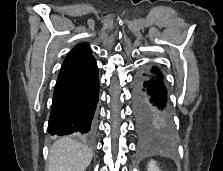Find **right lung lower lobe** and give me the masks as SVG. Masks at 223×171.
<instances>
[{"instance_id": "right-lung-lower-lobe-1", "label": "right lung lower lobe", "mask_w": 223, "mask_h": 171, "mask_svg": "<svg viewBox=\"0 0 223 171\" xmlns=\"http://www.w3.org/2000/svg\"><path fill=\"white\" fill-rule=\"evenodd\" d=\"M98 95V68L94 58L61 72L54 90L48 132L92 140Z\"/></svg>"}]
</instances>
